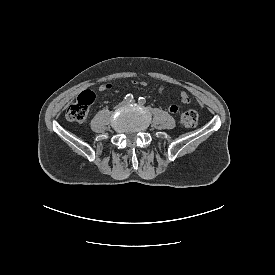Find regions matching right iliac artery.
<instances>
[{"mask_svg":"<svg viewBox=\"0 0 275 275\" xmlns=\"http://www.w3.org/2000/svg\"><path fill=\"white\" fill-rule=\"evenodd\" d=\"M133 95L132 94H127L124 98V101L126 102H132L133 101Z\"/></svg>","mask_w":275,"mask_h":275,"instance_id":"82829eb1","label":"right iliac artery"}]
</instances>
